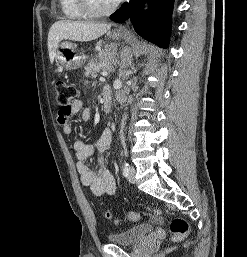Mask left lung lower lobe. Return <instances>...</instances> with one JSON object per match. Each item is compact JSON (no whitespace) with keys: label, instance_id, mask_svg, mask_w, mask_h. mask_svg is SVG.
Here are the masks:
<instances>
[{"label":"left lung lower lobe","instance_id":"0a47b994","mask_svg":"<svg viewBox=\"0 0 247 257\" xmlns=\"http://www.w3.org/2000/svg\"><path fill=\"white\" fill-rule=\"evenodd\" d=\"M143 2L144 0H131L123 4L110 19L121 23L130 18L135 31L141 37L166 48L174 0H150L148 12L143 11Z\"/></svg>","mask_w":247,"mask_h":257}]
</instances>
